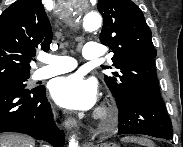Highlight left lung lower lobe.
Instances as JSON below:
<instances>
[{"instance_id": "obj_1", "label": "left lung lower lobe", "mask_w": 183, "mask_h": 147, "mask_svg": "<svg viewBox=\"0 0 183 147\" xmlns=\"http://www.w3.org/2000/svg\"><path fill=\"white\" fill-rule=\"evenodd\" d=\"M117 106L118 134H144L167 140L173 138L171 120L161 96L135 93Z\"/></svg>"}]
</instances>
